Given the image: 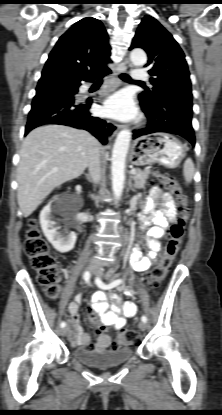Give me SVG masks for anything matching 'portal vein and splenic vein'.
Segmentation results:
<instances>
[{"label":"portal vein and splenic vein","instance_id":"portal-vein-and-splenic-vein-1","mask_svg":"<svg viewBox=\"0 0 222 415\" xmlns=\"http://www.w3.org/2000/svg\"><path fill=\"white\" fill-rule=\"evenodd\" d=\"M130 173L134 175V174H136L137 172H136V170H135V169H132V170L130 171Z\"/></svg>","mask_w":222,"mask_h":415}]
</instances>
